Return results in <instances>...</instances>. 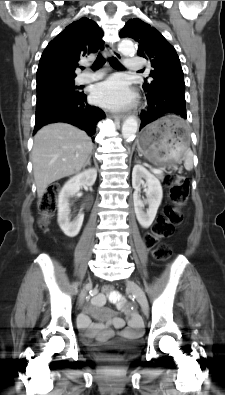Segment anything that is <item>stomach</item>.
<instances>
[{
  "mask_svg": "<svg viewBox=\"0 0 225 395\" xmlns=\"http://www.w3.org/2000/svg\"><path fill=\"white\" fill-rule=\"evenodd\" d=\"M183 120L164 116L148 125L140 134L137 147L153 164L179 162L189 149L188 132Z\"/></svg>",
  "mask_w": 225,
  "mask_h": 395,
  "instance_id": "0dacf381",
  "label": "stomach"
}]
</instances>
